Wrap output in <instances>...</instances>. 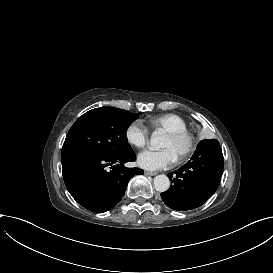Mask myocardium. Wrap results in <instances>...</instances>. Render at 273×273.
Segmentation results:
<instances>
[{"label": "myocardium", "instance_id": "obj_1", "mask_svg": "<svg viewBox=\"0 0 273 273\" xmlns=\"http://www.w3.org/2000/svg\"><path fill=\"white\" fill-rule=\"evenodd\" d=\"M168 138L171 139H185L186 140V147L177 157L178 161H183L187 157H189L195 150L196 147V136L193 132L185 129V130H178V131H168L165 133Z\"/></svg>", "mask_w": 273, "mask_h": 273}]
</instances>
